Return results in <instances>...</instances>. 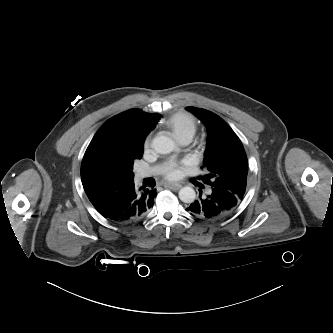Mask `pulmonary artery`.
<instances>
[{
	"instance_id": "e3ab8cb5",
	"label": "pulmonary artery",
	"mask_w": 333,
	"mask_h": 333,
	"mask_svg": "<svg viewBox=\"0 0 333 333\" xmlns=\"http://www.w3.org/2000/svg\"><path fill=\"white\" fill-rule=\"evenodd\" d=\"M191 137H185L183 139L180 140V143L182 145H187L190 143L191 141ZM157 171V168H151V169H148V170H139L137 173H136V180L139 181L145 177H148L152 174H154L155 172Z\"/></svg>"
}]
</instances>
